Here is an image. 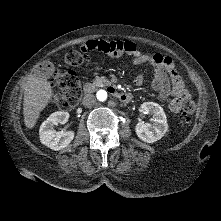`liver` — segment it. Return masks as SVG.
Segmentation results:
<instances>
[{"label":"liver","mask_w":221,"mask_h":221,"mask_svg":"<svg viewBox=\"0 0 221 221\" xmlns=\"http://www.w3.org/2000/svg\"><path fill=\"white\" fill-rule=\"evenodd\" d=\"M53 96L52 86L45 79H39L34 74L27 77L24 87L23 114L24 123L32 129L40 112L48 105Z\"/></svg>","instance_id":"1"}]
</instances>
